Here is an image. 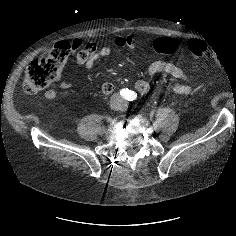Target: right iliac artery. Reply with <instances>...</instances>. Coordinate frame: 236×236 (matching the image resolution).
Here are the masks:
<instances>
[{
	"label": "right iliac artery",
	"mask_w": 236,
	"mask_h": 236,
	"mask_svg": "<svg viewBox=\"0 0 236 236\" xmlns=\"http://www.w3.org/2000/svg\"><path fill=\"white\" fill-rule=\"evenodd\" d=\"M129 94H130V91H129V89H127V88H124V89H122V90L120 91V95H121L123 98H128Z\"/></svg>",
	"instance_id": "obj_1"
}]
</instances>
